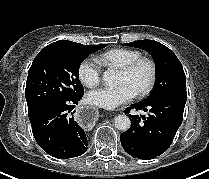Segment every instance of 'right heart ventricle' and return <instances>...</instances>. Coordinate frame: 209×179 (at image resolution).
<instances>
[{"instance_id":"right-heart-ventricle-1","label":"right heart ventricle","mask_w":209,"mask_h":179,"mask_svg":"<svg viewBox=\"0 0 209 179\" xmlns=\"http://www.w3.org/2000/svg\"><path fill=\"white\" fill-rule=\"evenodd\" d=\"M140 51L130 48H113L96 57L97 62L108 69H120L141 57Z\"/></svg>"}]
</instances>
